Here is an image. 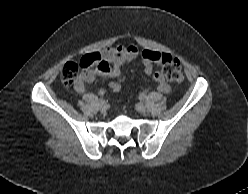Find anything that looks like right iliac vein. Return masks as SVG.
<instances>
[{"label": "right iliac vein", "instance_id": "right-iliac-vein-1", "mask_svg": "<svg viewBox=\"0 0 248 194\" xmlns=\"http://www.w3.org/2000/svg\"><path fill=\"white\" fill-rule=\"evenodd\" d=\"M99 108L101 111H105L107 109V104L104 100L99 102Z\"/></svg>", "mask_w": 248, "mask_h": 194}]
</instances>
